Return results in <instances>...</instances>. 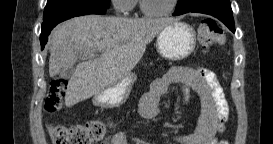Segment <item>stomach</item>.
<instances>
[{"instance_id": "stomach-1", "label": "stomach", "mask_w": 273, "mask_h": 144, "mask_svg": "<svg viewBox=\"0 0 273 144\" xmlns=\"http://www.w3.org/2000/svg\"><path fill=\"white\" fill-rule=\"evenodd\" d=\"M196 33L193 27L185 22L175 21L157 36L156 48L158 53L168 60H182L195 49ZM136 80L134 73H129L116 84L106 88L93 98L94 105L101 108H115L124 104Z\"/></svg>"}]
</instances>
